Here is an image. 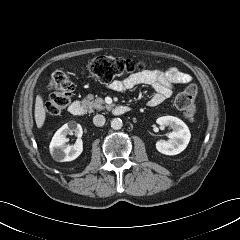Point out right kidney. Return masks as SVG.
Here are the masks:
<instances>
[{
    "label": "right kidney",
    "mask_w": 240,
    "mask_h": 240,
    "mask_svg": "<svg viewBox=\"0 0 240 240\" xmlns=\"http://www.w3.org/2000/svg\"><path fill=\"white\" fill-rule=\"evenodd\" d=\"M75 134L78 139L74 145L66 144L67 134ZM83 134L82 127L75 121L64 124L54 134L50 143V153L58 162L75 160L83 151V143L80 139Z\"/></svg>",
    "instance_id": "obj_1"
}]
</instances>
